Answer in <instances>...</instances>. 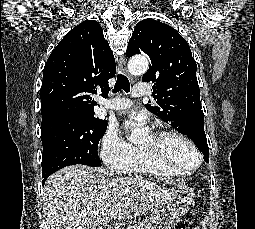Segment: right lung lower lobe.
<instances>
[{
	"label": "right lung lower lobe",
	"instance_id": "obj_1",
	"mask_svg": "<svg viewBox=\"0 0 255 229\" xmlns=\"http://www.w3.org/2000/svg\"><path fill=\"white\" fill-rule=\"evenodd\" d=\"M49 176H50L49 174L42 175V178H43L42 184H43V185H44L46 179H47Z\"/></svg>",
	"mask_w": 255,
	"mask_h": 229
}]
</instances>
